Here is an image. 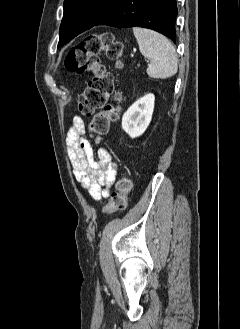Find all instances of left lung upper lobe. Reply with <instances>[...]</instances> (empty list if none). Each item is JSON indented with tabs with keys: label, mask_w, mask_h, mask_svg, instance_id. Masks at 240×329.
Here are the masks:
<instances>
[{
	"label": "left lung upper lobe",
	"mask_w": 240,
	"mask_h": 329,
	"mask_svg": "<svg viewBox=\"0 0 240 329\" xmlns=\"http://www.w3.org/2000/svg\"><path fill=\"white\" fill-rule=\"evenodd\" d=\"M119 0H65L58 46L95 26Z\"/></svg>",
	"instance_id": "left-lung-upper-lobe-1"
}]
</instances>
